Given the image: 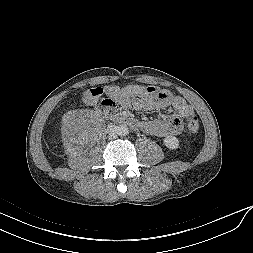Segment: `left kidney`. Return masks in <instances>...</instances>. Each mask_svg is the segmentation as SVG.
Listing matches in <instances>:
<instances>
[{
  "instance_id": "1",
  "label": "left kidney",
  "mask_w": 253,
  "mask_h": 253,
  "mask_svg": "<svg viewBox=\"0 0 253 253\" xmlns=\"http://www.w3.org/2000/svg\"><path fill=\"white\" fill-rule=\"evenodd\" d=\"M163 141L165 146L169 149H176L179 147V140L176 137L168 136Z\"/></svg>"
}]
</instances>
